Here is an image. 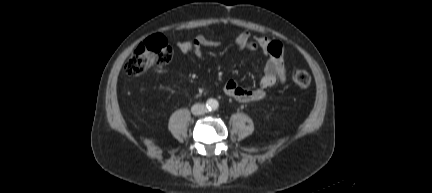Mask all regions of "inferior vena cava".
<instances>
[{"mask_svg": "<svg viewBox=\"0 0 432 193\" xmlns=\"http://www.w3.org/2000/svg\"><path fill=\"white\" fill-rule=\"evenodd\" d=\"M191 111L194 115H201L207 112V108L204 104L196 103L192 106Z\"/></svg>", "mask_w": 432, "mask_h": 193, "instance_id": "obj_1", "label": "inferior vena cava"}]
</instances>
